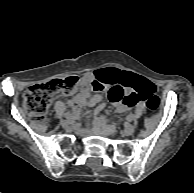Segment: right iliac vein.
<instances>
[{
    "mask_svg": "<svg viewBox=\"0 0 194 193\" xmlns=\"http://www.w3.org/2000/svg\"><path fill=\"white\" fill-rule=\"evenodd\" d=\"M72 120L71 119H67V120H62L60 122L61 126L64 128H69L71 125Z\"/></svg>",
    "mask_w": 194,
    "mask_h": 193,
    "instance_id": "63e3f726",
    "label": "right iliac vein"
}]
</instances>
